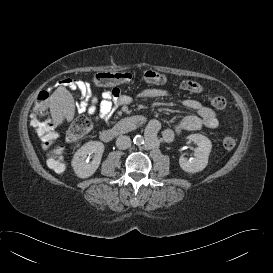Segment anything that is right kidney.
I'll return each instance as SVG.
<instances>
[{
	"mask_svg": "<svg viewBox=\"0 0 273 273\" xmlns=\"http://www.w3.org/2000/svg\"><path fill=\"white\" fill-rule=\"evenodd\" d=\"M104 152V144L99 141H89L74 154L72 167L79 178H88L98 169ZM92 161H87V157Z\"/></svg>",
	"mask_w": 273,
	"mask_h": 273,
	"instance_id": "right-kidney-1",
	"label": "right kidney"
}]
</instances>
